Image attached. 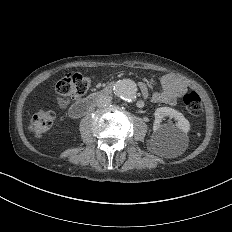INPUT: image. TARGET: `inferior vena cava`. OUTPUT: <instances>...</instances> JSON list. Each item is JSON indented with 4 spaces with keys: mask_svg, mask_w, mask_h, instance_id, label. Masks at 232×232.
Listing matches in <instances>:
<instances>
[{
    "mask_svg": "<svg viewBox=\"0 0 232 232\" xmlns=\"http://www.w3.org/2000/svg\"><path fill=\"white\" fill-rule=\"evenodd\" d=\"M111 101V97L110 96H101L99 99L100 104L104 105V104H108Z\"/></svg>",
    "mask_w": 232,
    "mask_h": 232,
    "instance_id": "1",
    "label": "inferior vena cava"
}]
</instances>
